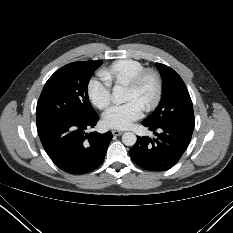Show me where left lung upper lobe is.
Returning a JSON list of instances; mask_svg holds the SVG:
<instances>
[{
	"mask_svg": "<svg viewBox=\"0 0 233 233\" xmlns=\"http://www.w3.org/2000/svg\"><path fill=\"white\" fill-rule=\"evenodd\" d=\"M162 75V98L143 123L153 127L171 124L195 125L192 101L180 76L170 67L157 63Z\"/></svg>",
	"mask_w": 233,
	"mask_h": 233,
	"instance_id": "obj_1",
	"label": "left lung upper lobe"
}]
</instances>
